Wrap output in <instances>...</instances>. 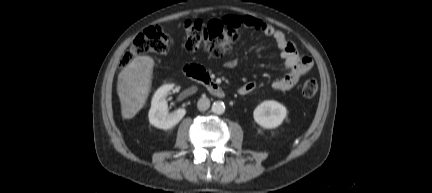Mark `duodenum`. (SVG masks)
<instances>
[{"label": "duodenum", "mask_w": 432, "mask_h": 193, "mask_svg": "<svg viewBox=\"0 0 432 193\" xmlns=\"http://www.w3.org/2000/svg\"><path fill=\"white\" fill-rule=\"evenodd\" d=\"M184 74L191 80L202 83L208 92L217 98L225 97V90L212 80L207 71L198 65H188L183 68Z\"/></svg>", "instance_id": "obj_1"}]
</instances>
